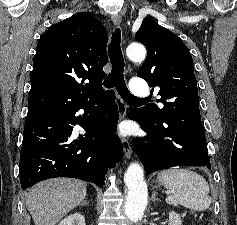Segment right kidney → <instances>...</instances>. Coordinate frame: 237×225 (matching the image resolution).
<instances>
[{
  "instance_id": "obj_1",
  "label": "right kidney",
  "mask_w": 237,
  "mask_h": 225,
  "mask_svg": "<svg viewBox=\"0 0 237 225\" xmlns=\"http://www.w3.org/2000/svg\"><path fill=\"white\" fill-rule=\"evenodd\" d=\"M58 225H86L85 218L76 212L64 218Z\"/></svg>"
}]
</instances>
